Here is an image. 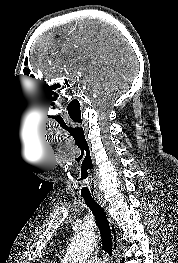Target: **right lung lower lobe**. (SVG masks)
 Wrapping results in <instances>:
<instances>
[{
    "label": "right lung lower lobe",
    "instance_id": "98d812e1",
    "mask_svg": "<svg viewBox=\"0 0 178 263\" xmlns=\"http://www.w3.org/2000/svg\"><path fill=\"white\" fill-rule=\"evenodd\" d=\"M124 262V259L121 261V263H123Z\"/></svg>",
    "mask_w": 178,
    "mask_h": 263
}]
</instances>
